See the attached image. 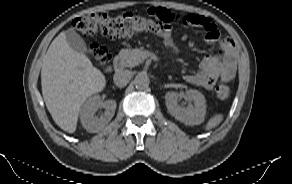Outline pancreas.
<instances>
[{"mask_svg":"<svg viewBox=\"0 0 292 184\" xmlns=\"http://www.w3.org/2000/svg\"><path fill=\"white\" fill-rule=\"evenodd\" d=\"M124 67H135L144 61L143 52L140 49H122L119 52Z\"/></svg>","mask_w":292,"mask_h":184,"instance_id":"1","label":"pancreas"}]
</instances>
